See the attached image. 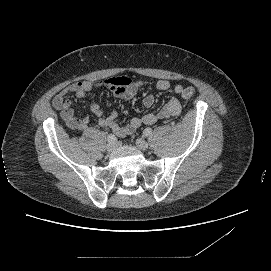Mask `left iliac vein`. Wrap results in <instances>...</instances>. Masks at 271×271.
<instances>
[{"label": "left iliac vein", "instance_id": "obj_1", "mask_svg": "<svg viewBox=\"0 0 271 271\" xmlns=\"http://www.w3.org/2000/svg\"><path fill=\"white\" fill-rule=\"evenodd\" d=\"M136 146H137L140 150H147L148 147H149L148 143H147L144 139H142V138H138V139L136 140Z\"/></svg>", "mask_w": 271, "mask_h": 271}]
</instances>
